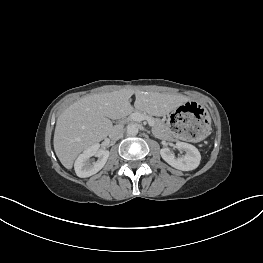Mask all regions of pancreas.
Listing matches in <instances>:
<instances>
[{
  "mask_svg": "<svg viewBox=\"0 0 263 263\" xmlns=\"http://www.w3.org/2000/svg\"><path fill=\"white\" fill-rule=\"evenodd\" d=\"M135 113H141L145 116H148L145 112H140V111H135ZM132 114L129 115L128 119L133 120L131 117ZM153 120V126H152V131L155 134L156 137L160 139H169V128L166 126V124L158 118H153L151 116H148Z\"/></svg>",
  "mask_w": 263,
  "mask_h": 263,
  "instance_id": "cf45deb5",
  "label": "pancreas"
}]
</instances>
